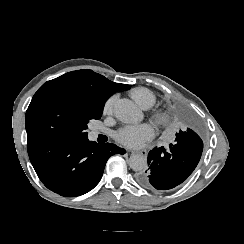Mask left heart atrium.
<instances>
[{"instance_id":"1","label":"left heart atrium","mask_w":244,"mask_h":244,"mask_svg":"<svg viewBox=\"0 0 244 244\" xmlns=\"http://www.w3.org/2000/svg\"><path fill=\"white\" fill-rule=\"evenodd\" d=\"M155 137L154 129L147 124L120 129L115 139L130 148H139Z\"/></svg>"}]
</instances>
